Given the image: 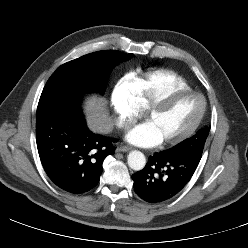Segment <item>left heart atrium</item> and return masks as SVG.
<instances>
[{
  "instance_id": "left-heart-atrium-1",
  "label": "left heart atrium",
  "mask_w": 248,
  "mask_h": 248,
  "mask_svg": "<svg viewBox=\"0 0 248 248\" xmlns=\"http://www.w3.org/2000/svg\"><path fill=\"white\" fill-rule=\"evenodd\" d=\"M125 138L129 143L141 147H153L161 143L160 137L148 121L129 130Z\"/></svg>"
}]
</instances>
